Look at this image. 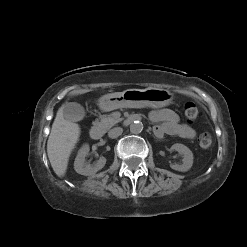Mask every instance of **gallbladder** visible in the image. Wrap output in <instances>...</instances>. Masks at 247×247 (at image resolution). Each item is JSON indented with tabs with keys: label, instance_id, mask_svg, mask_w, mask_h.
Here are the masks:
<instances>
[{
	"label": "gallbladder",
	"instance_id": "bac80fb5",
	"mask_svg": "<svg viewBox=\"0 0 247 247\" xmlns=\"http://www.w3.org/2000/svg\"><path fill=\"white\" fill-rule=\"evenodd\" d=\"M63 116L68 121L76 122L84 118L85 111L80 104L76 102H70L64 105Z\"/></svg>",
	"mask_w": 247,
	"mask_h": 247
}]
</instances>
